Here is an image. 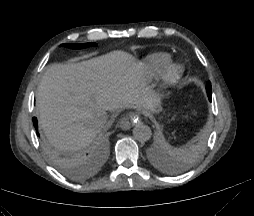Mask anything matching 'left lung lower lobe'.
<instances>
[{"label": "left lung lower lobe", "instance_id": "0a47b994", "mask_svg": "<svg viewBox=\"0 0 254 216\" xmlns=\"http://www.w3.org/2000/svg\"><path fill=\"white\" fill-rule=\"evenodd\" d=\"M209 100L211 101V95H208Z\"/></svg>", "mask_w": 254, "mask_h": 216}]
</instances>
